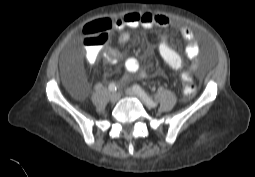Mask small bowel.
Here are the masks:
<instances>
[{
    "label": "small bowel",
    "mask_w": 255,
    "mask_h": 177,
    "mask_svg": "<svg viewBox=\"0 0 255 177\" xmlns=\"http://www.w3.org/2000/svg\"><path fill=\"white\" fill-rule=\"evenodd\" d=\"M106 20L112 24L111 20L109 19H106ZM113 23H114V27L119 31H123L125 28H132V29L151 28V27L172 28L186 40L185 56L188 60L192 62L191 66L189 67L190 73L192 74V72H194L197 69L199 44L197 40L195 39L193 30L190 27L181 25L163 14H152L148 12H145V13L130 12L123 15L122 17L115 19ZM129 38H130L129 33L123 31L120 33L118 37V41L120 43H125L129 40ZM99 56H100V51L97 48H90L87 52V59L91 63L96 62ZM122 56H123V53L120 50L115 48H108L104 53L105 59L110 63L117 61ZM124 70L129 75L139 74L141 77L145 76V73L141 71V66L139 61L133 57L126 59L124 63Z\"/></svg>",
    "instance_id": "1"
}]
</instances>
